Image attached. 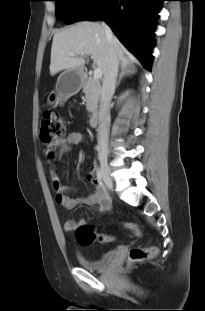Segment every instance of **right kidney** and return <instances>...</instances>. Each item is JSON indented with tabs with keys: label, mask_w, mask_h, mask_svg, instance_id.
Masks as SVG:
<instances>
[{
	"label": "right kidney",
	"mask_w": 205,
	"mask_h": 311,
	"mask_svg": "<svg viewBox=\"0 0 205 311\" xmlns=\"http://www.w3.org/2000/svg\"><path fill=\"white\" fill-rule=\"evenodd\" d=\"M127 95H128V91L125 92V93H123V94L121 95L120 99L122 100V99L125 98Z\"/></svg>",
	"instance_id": "1"
}]
</instances>
